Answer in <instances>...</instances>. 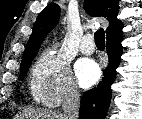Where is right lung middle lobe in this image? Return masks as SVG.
Segmentation results:
<instances>
[{
    "label": "right lung middle lobe",
    "mask_w": 142,
    "mask_h": 119,
    "mask_svg": "<svg viewBox=\"0 0 142 119\" xmlns=\"http://www.w3.org/2000/svg\"><path fill=\"white\" fill-rule=\"evenodd\" d=\"M31 60H29L28 62L24 63L22 66H21V72H20V78L23 79L29 69V66L31 64Z\"/></svg>",
    "instance_id": "right-lung-middle-lobe-1"
}]
</instances>
